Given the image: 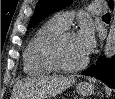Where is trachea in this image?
Wrapping results in <instances>:
<instances>
[{"label": "trachea", "instance_id": "obj_1", "mask_svg": "<svg viewBox=\"0 0 115 99\" xmlns=\"http://www.w3.org/2000/svg\"><path fill=\"white\" fill-rule=\"evenodd\" d=\"M103 17H110V13H106Z\"/></svg>", "mask_w": 115, "mask_h": 99}]
</instances>
